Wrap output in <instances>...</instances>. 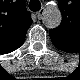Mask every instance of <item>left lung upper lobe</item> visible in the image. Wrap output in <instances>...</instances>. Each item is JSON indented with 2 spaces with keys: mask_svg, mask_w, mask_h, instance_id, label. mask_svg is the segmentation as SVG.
Listing matches in <instances>:
<instances>
[{
  "mask_svg": "<svg viewBox=\"0 0 80 80\" xmlns=\"http://www.w3.org/2000/svg\"><path fill=\"white\" fill-rule=\"evenodd\" d=\"M60 10L63 17L61 25L58 28L51 29L49 31V35L53 41H55L57 37H61L62 40H69L71 38L73 29H75V31L77 32L79 30L78 26H80L70 8L68 9L67 7H65L64 1L61 4Z\"/></svg>",
  "mask_w": 80,
  "mask_h": 80,
  "instance_id": "left-lung-upper-lobe-1",
  "label": "left lung upper lobe"
}]
</instances>
